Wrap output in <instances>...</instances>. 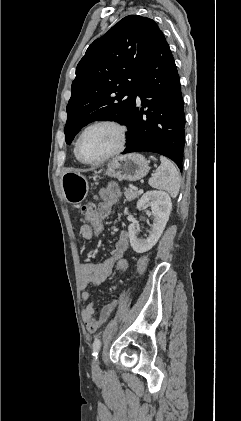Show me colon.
Here are the masks:
<instances>
[{"instance_id": "5ec220e1", "label": "colon", "mask_w": 241, "mask_h": 421, "mask_svg": "<svg viewBox=\"0 0 241 421\" xmlns=\"http://www.w3.org/2000/svg\"><path fill=\"white\" fill-rule=\"evenodd\" d=\"M82 214L86 220V224L91 227L92 238L97 239L102 235L104 224L103 219L97 214L96 206L93 203H88L82 207ZM147 265V258L142 257L138 261V270L143 272ZM130 268L129 262L121 258L115 263V270L119 273H126Z\"/></svg>"}]
</instances>
